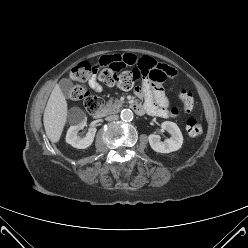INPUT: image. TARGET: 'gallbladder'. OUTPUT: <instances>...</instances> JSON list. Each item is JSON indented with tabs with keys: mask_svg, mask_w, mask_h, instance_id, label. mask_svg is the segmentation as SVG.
I'll use <instances>...</instances> for the list:
<instances>
[{
	"mask_svg": "<svg viewBox=\"0 0 248 248\" xmlns=\"http://www.w3.org/2000/svg\"><path fill=\"white\" fill-rule=\"evenodd\" d=\"M59 86H60L62 93L65 96H69L73 88V83L68 79H64L59 83Z\"/></svg>",
	"mask_w": 248,
	"mask_h": 248,
	"instance_id": "obj_1",
	"label": "gallbladder"
}]
</instances>
